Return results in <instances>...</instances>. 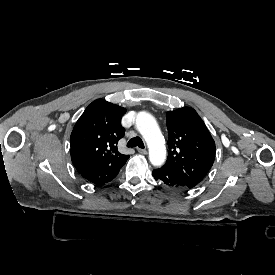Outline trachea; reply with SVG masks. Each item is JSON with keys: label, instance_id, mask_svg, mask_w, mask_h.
I'll return each mask as SVG.
<instances>
[{"label": "trachea", "instance_id": "obj_1", "mask_svg": "<svg viewBox=\"0 0 275 275\" xmlns=\"http://www.w3.org/2000/svg\"><path fill=\"white\" fill-rule=\"evenodd\" d=\"M137 146L141 149H144V143L140 137L131 138L127 143V147L133 148V147H137Z\"/></svg>", "mask_w": 275, "mask_h": 275}]
</instances>
